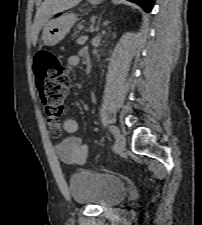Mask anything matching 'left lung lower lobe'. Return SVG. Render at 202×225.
I'll use <instances>...</instances> for the list:
<instances>
[{"mask_svg": "<svg viewBox=\"0 0 202 225\" xmlns=\"http://www.w3.org/2000/svg\"><path fill=\"white\" fill-rule=\"evenodd\" d=\"M129 1L137 3L147 12H150L152 9V0H129Z\"/></svg>", "mask_w": 202, "mask_h": 225, "instance_id": "0a47b994", "label": "left lung lower lobe"}]
</instances>
